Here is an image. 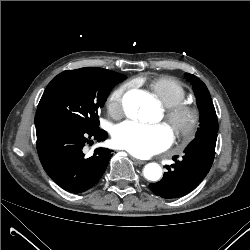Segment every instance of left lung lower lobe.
Returning <instances> with one entry per match:
<instances>
[{
	"label": "left lung lower lobe",
	"instance_id": "1",
	"mask_svg": "<svg viewBox=\"0 0 250 250\" xmlns=\"http://www.w3.org/2000/svg\"><path fill=\"white\" fill-rule=\"evenodd\" d=\"M217 133L195 138L185 149L182 160L167 167L161 181L150 184V189L163 198H177L194 189L209 172L214 156Z\"/></svg>",
	"mask_w": 250,
	"mask_h": 250
}]
</instances>
